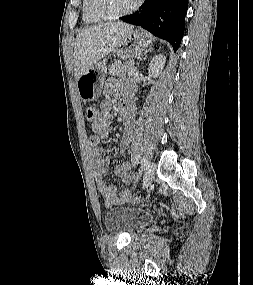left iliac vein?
I'll return each mask as SVG.
<instances>
[{
	"instance_id": "obj_1",
	"label": "left iliac vein",
	"mask_w": 253,
	"mask_h": 285,
	"mask_svg": "<svg viewBox=\"0 0 253 285\" xmlns=\"http://www.w3.org/2000/svg\"><path fill=\"white\" fill-rule=\"evenodd\" d=\"M154 171H155V167L153 165V163H148L147 164V167H146V170L144 172V175H143V180H142V187L143 188H147L152 179H153V176H154Z\"/></svg>"
}]
</instances>
